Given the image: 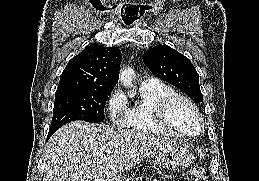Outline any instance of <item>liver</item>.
Masks as SVG:
<instances>
[{"mask_svg": "<svg viewBox=\"0 0 259 181\" xmlns=\"http://www.w3.org/2000/svg\"><path fill=\"white\" fill-rule=\"evenodd\" d=\"M171 143L135 130L71 122L49 141L43 181H112Z\"/></svg>", "mask_w": 259, "mask_h": 181, "instance_id": "liver-1", "label": "liver"}]
</instances>
